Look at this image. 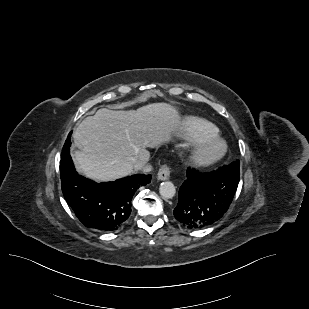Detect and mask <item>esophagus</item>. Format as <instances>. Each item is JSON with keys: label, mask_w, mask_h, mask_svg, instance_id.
<instances>
[{"label": "esophagus", "mask_w": 309, "mask_h": 309, "mask_svg": "<svg viewBox=\"0 0 309 309\" xmlns=\"http://www.w3.org/2000/svg\"><path fill=\"white\" fill-rule=\"evenodd\" d=\"M170 177V167L166 164L162 165L157 173L159 180H167Z\"/></svg>", "instance_id": "34e87169"}]
</instances>
